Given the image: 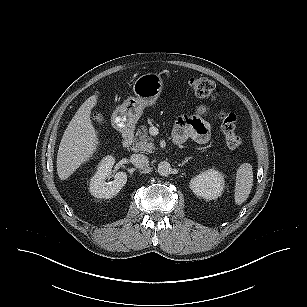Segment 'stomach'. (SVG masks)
<instances>
[{"label": "stomach", "mask_w": 307, "mask_h": 307, "mask_svg": "<svg viewBox=\"0 0 307 307\" xmlns=\"http://www.w3.org/2000/svg\"><path fill=\"white\" fill-rule=\"evenodd\" d=\"M164 84L161 76L147 73L133 83L135 97H128L112 114L113 126L123 131L135 126L146 106H152L159 98Z\"/></svg>", "instance_id": "1"}]
</instances>
